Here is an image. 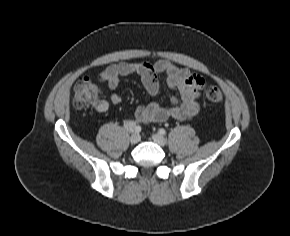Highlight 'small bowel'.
<instances>
[{
	"label": "small bowel",
	"instance_id": "c3829d8e",
	"mask_svg": "<svg viewBox=\"0 0 290 236\" xmlns=\"http://www.w3.org/2000/svg\"><path fill=\"white\" fill-rule=\"evenodd\" d=\"M136 74L151 97L147 105L138 107L134 113V121L138 123L164 122L169 118L186 120L194 117L200 109L198 98L206 84L204 77L180 68L174 64L160 60L149 62H123L106 67L98 80L105 83L109 89L115 90L122 77ZM161 77L167 86L179 93L180 99L172 97L171 107H164L158 102L162 89ZM122 101L118 93H112L109 99L98 98L92 107L98 112H105L110 104L118 105ZM134 121H127L134 123ZM125 124V125H126Z\"/></svg>",
	"mask_w": 290,
	"mask_h": 236
}]
</instances>
